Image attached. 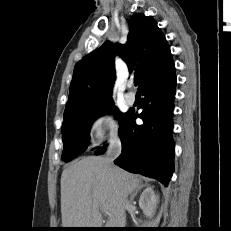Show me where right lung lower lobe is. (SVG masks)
I'll return each instance as SVG.
<instances>
[{"label": "right lung lower lobe", "mask_w": 231, "mask_h": 231, "mask_svg": "<svg viewBox=\"0 0 231 231\" xmlns=\"http://www.w3.org/2000/svg\"><path fill=\"white\" fill-rule=\"evenodd\" d=\"M176 75L151 82L141 89L144 96L138 115L142 125L135 122L134 111H128L120 124L122 153L114 161L121 168L157 179L167 186L174 172L173 110ZM106 146L95 155L104 154Z\"/></svg>", "instance_id": "98d812e1"}]
</instances>
